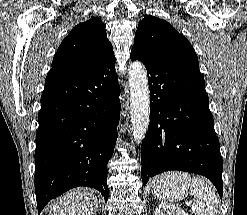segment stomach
Segmentation results:
<instances>
[{
    "instance_id": "stomach-1",
    "label": "stomach",
    "mask_w": 247,
    "mask_h": 215,
    "mask_svg": "<svg viewBox=\"0 0 247 215\" xmlns=\"http://www.w3.org/2000/svg\"><path fill=\"white\" fill-rule=\"evenodd\" d=\"M190 186L191 180L186 173L172 172L156 180L152 192L159 199L178 201L187 196Z\"/></svg>"
}]
</instances>
